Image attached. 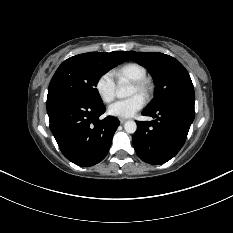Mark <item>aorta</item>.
Here are the masks:
<instances>
[{"label":"aorta","instance_id":"1","mask_svg":"<svg viewBox=\"0 0 233 233\" xmlns=\"http://www.w3.org/2000/svg\"><path fill=\"white\" fill-rule=\"evenodd\" d=\"M133 93V89L130 86H119V88L116 91V95L119 98H126L130 96ZM124 129L127 133L133 134L137 130V124L135 121L129 120L125 122Z\"/></svg>","mask_w":233,"mask_h":233}]
</instances>
